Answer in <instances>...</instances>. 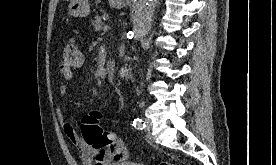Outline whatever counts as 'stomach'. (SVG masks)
<instances>
[{"instance_id": "obj_1", "label": "stomach", "mask_w": 276, "mask_h": 165, "mask_svg": "<svg viewBox=\"0 0 276 165\" xmlns=\"http://www.w3.org/2000/svg\"><path fill=\"white\" fill-rule=\"evenodd\" d=\"M127 0H108L111 7L123 8ZM69 14L73 17H86L90 13L88 0H70Z\"/></svg>"}]
</instances>
